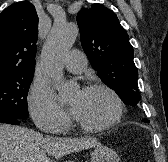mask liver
<instances>
[{
	"instance_id": "liver-1",
	"label": "liver",
	"mask_w": 168,
	"mask_h": 162,
	"mask_svg": "<svg viewBox=\"0 0 168 162\" xmlns=\"http://www.w3.org/2000/svg\"><path fill=\"white\" fill-rule=\"evenodd\" d=\"M99 146L90 138L44 137L24 127L0 123V162H55L53 158Z\"/></svg>"
}]
</instances>
